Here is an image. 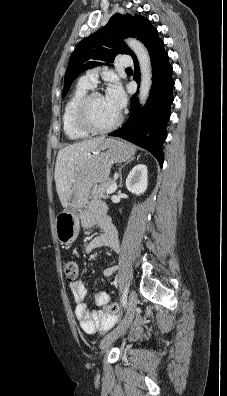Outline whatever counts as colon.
<instances>
[{
  "label": "colon",
  "mask_w": 227,
  "mask_h": 396,
  "mask_svg": "<svg viewBox=\"0 0 227 396\" xmlns=\"http://www.w3.org/2000/svg\"><path fill=\"white\" fill-rule=\"evenodd\" d=\"M63 270H64V274L65 277L68 281H74L76 280L77 276H78V266L76 261L69 259L66 260L63 264ZM104 310L108 313H118L120 310V307L117 303H110L107 304L104 307Z\"/></svg>",
  "instance_id": "obj_1"
}]
</instances>
